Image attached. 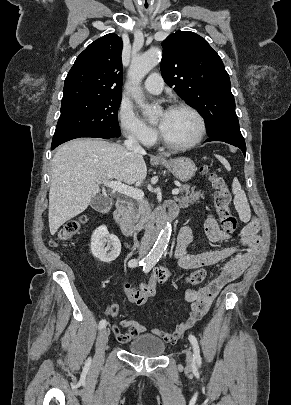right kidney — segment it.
Returning a JSON list of instances; mask_svg holds the SVG:
<instances>
[{
  "label": "right kidney",
  "instance_id": "ca27d5eb",
  "mask_svg": "<svg viewBox=\"0 0 291 405\" xmlns=\"http://www.w3.org/2000/svg\"><path fill=\"white\" fill-rule=\"evenodd\" d=\"M105 242H107L106 247ZM91 252L100 261L110 263L120 255V240L117 236L110 235L107 227L102 225L91 236Z\"/></svg>",
  "mask_w": 291,
  "mask_h": 405
}]
</instances>
